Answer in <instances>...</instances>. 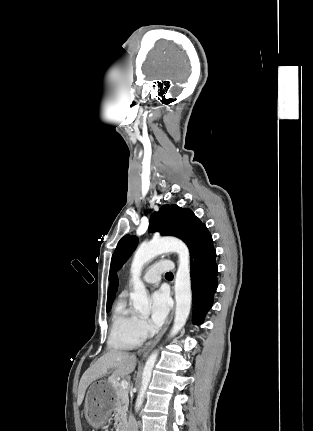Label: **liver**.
<instances>
[{
	"instance_id": "obj_1",
	"label": "liver",
	"mask_w": 313,
	"mask_h": 431,
	"mask_svg": "<svg viewBox=\"0 0 313 431\" xmlns=\"http://www.w3.org/2000/svg\"><path fill=\"white\" fill-rule=\"evenodd\" d=\"M136 362V356L128 352L111 350L104 354L82 375L78 387L77 404L81 405L85 391L93 381L104 377L109 371H112L110 379L114 381L128 376L134 371Z\"/></svg>"
}]
</instances>
